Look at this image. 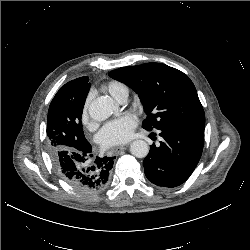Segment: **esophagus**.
<instances>
[{
	"label": "esophagus",
	"instance_id": "esophagus-1",
	"mask_svg": "<svg viewBox=\"0 0 250 250\" xmlns=\"http://www.w3.org/2000/svg\"><path fill=\"white\" fill-rule=\"evenodd\" d=\"M128 146H129L128 144H125V145H121V146L115 147L113 149V152L119 153L120 151L125 150Z\"/></svg>",
	"mask_w": 250,
	"mask_h": 250
}]
</instances>
